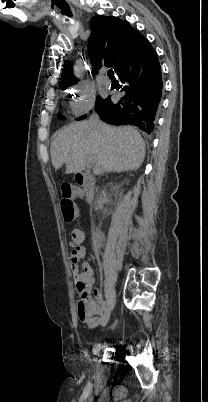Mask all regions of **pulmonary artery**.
<instances>
[{"label":"pulmonary artery","mask_w":208,"mask_h":402,"mask_svg":"<svg viewBox=\"0 0 208 402\" xmlns=\"http://www.w3.org/2000/svg\"><path fill=\"white\" fill-rule=\"evenodd\" d=\"M98 74H99L100 76H105V75L107 74V69H106L105 67H100V68L98 69Z\"/></svg>","instance_id":"e3ab8cb5"}]
</instances>
